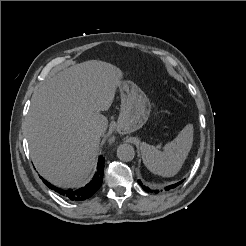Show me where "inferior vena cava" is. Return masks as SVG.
I'll return each mask as SVG.
<instances>
[{"instance_id":"1","label":"inferior vena cava","mask_w":246,"mask_h":246,"mask_svg":"<svg viewBox=\"0 0 246 246\" xmlns=\"http://www.w3.org/2000/svg\"><path fill=\"white\" fill-rule=\"evenodd\" d=\"M94 133L97 135V136H101L102 134H103V130H102V128H100V127H96L95 129H94Z\"/></svg>"}]
</instances>
